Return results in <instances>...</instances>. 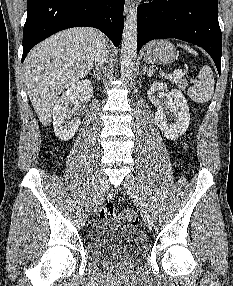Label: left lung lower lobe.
<instances>
[{
    "label": "left lung lower lobe",
    "instance_id": "left-lung-lower-lobe-1",
    "mask_svg": "<svg viewBox=\"0 0 233 286\" xmlns=\"http://www.w3.org/2000/svg\"><path fill=\"white\" fill-rule=\"evenodd\" d=\"M137 50L153 39L176 38L205 49L221 73L217 0H154L137 8Z\"/></svg>",
    "mask_w": 233,
    "mask_h": 286
}]
</instances>
